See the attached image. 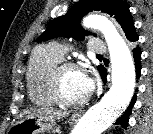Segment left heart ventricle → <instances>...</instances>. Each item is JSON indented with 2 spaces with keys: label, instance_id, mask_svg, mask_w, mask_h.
Wrapping results in <instances>:
<instances>
[{
  "label": "left heart ventricle",
  "instance_id": "left-heart-ventricle-1",
  "mask_svg": "<svg viewBox=\"0 0 153 134\" xmlns=\"http://www.w3.org/2000/svg\"><path fill=\"white\" fill-rule=\"evenodd\" d=\"M85 73L78 70H66L62 75V92L69 100H82L85 93Z\"/></svg>",
  "mask_w": 153,
  "mask_h": 134
}]
</instances>
